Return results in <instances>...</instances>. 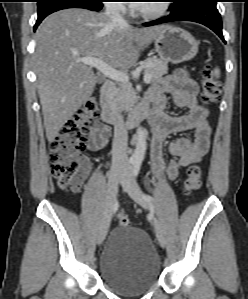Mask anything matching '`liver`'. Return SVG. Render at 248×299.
<instances>
[{"label": "liver", "mask_w": 248, "mask_h": 299, "mask_svg": "<svg viewBox=\"0 0 248 299\" xmlns=\"http://www.w3.org/2000/svg\"><path fill=\"white\" fill-rule=\"evenodd\" d=\"M163 27L118 25L105 14L79 8L46 17L36 32L34 66L47 140L54 141L94 91L98 78L80 58H99L114 69L130 68Z\"/></svg>", "instance_id": "1"}]
</instances>
